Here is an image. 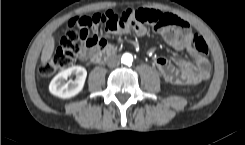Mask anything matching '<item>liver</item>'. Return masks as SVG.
Instances as JSON below:
<instances>
[{
	"label": "liver",
	"instance_id": "obj_1",
	"mask_svg": "<svg viewBox=\"0 0 245 145\" xmlns=\"http://www.w3.org/2000/svg\"><path fill=\"white\" fill-rule=\"evenodd\" d=\"M55 47V40L53 36H50L43 47L42 54H41V63L43 66L47 64V62L50 60L53 51Z\"/></svg>",
	"mask_w": 245,
	"mask_h": 145
}]
</instances>
